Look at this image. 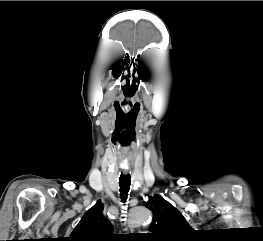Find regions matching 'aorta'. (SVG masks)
I'll use <instances>...</instances> for the list:
<instances>
[{"label": "aorta", "instance_id": "762f6f07", "mask_svg": "<svg viewBox=\"0 0 263 241\" xmlns=\"http://www.w3.org/2000/svg\"><path fill=\"white\" fill-rule=\"evenodd\" d=\"M151 221V212L143 206L134 207L128 215V224L131 227H137L143 224H148Z\"/></svg>", "mask_w": 263, "mask_h": 241}]
</instances>
